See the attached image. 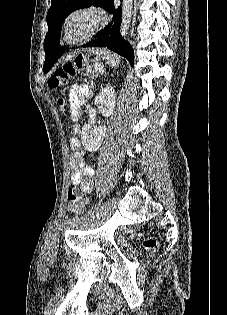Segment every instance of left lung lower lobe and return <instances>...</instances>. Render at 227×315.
<instances>
[{
	"instance_id": "1",
	"label": "left lung lower lobe",
	"mask_w": 227,
	"mask_h": 315,
	"mask_svg": "<svg viewBox=\"0 0 227 315\" xmlns=\"http://www.w3.org/2000/svg\"><path fill=\"white\" fill-rule=\"evenodd\" d=\"M105 9L113 15L111 23L97 32L95 40L84 44L82 47H107L124 56L130 62L131 66H133V49L120 35L121 6L116 9L114 0H109ZM44 50L46 53L44 72L47 73L67 49L59 46L58 41H51L48 45L44 46Z\"/></svg>"
}]
</instances>
